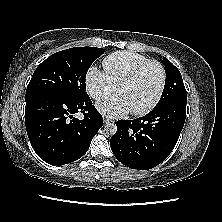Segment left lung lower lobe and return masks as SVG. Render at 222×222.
Segmentation results:
<instances>
[{
	"label": "left lung lower lobe",
	"instance_id": "obj_1",
	"mask_svg": "<svg viewBox=\"0 0 222 222\" xmlns=\"http://www.w3.org/2000/svg\"><path fill=\"white\" fill-rule=\"evenodd\" d=\"M187 100L173 99L143 117L117 121L111 149L124 165L137 170L151 169L172 152L184 126Z\"/></svg>",
	"mask_w": 222,
	"mask_h": 222
}]
</instances>
